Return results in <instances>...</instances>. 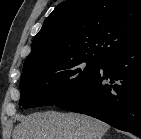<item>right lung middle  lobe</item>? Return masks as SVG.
Here are the masks:
<instances>
[{
	"label": "right lung middle lobe",
	"instance_id": "obj_1",
	"mask_svg": "<svg viewBox=\"0 0 141 139\" xmlns=\"http://www.w3.org/2000/svg\"><path fill=\"white\" fill-rule=\"evenodd\" d=\"M101 62L100 58L83 56L23 70L19 105L51 106L65 100L93 77Z\"/></svg>",
	"mask_w": 141,
	"mask_h": 139
}]
</instances>
